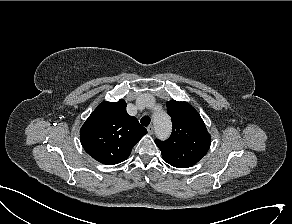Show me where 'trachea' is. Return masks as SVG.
<instances>
[{"label": "trachea", "mask_w": 292, "mask_h": 224, "mask_svg": "<svg viewBox=\"0 0 292 224\" xmlns=\"http://www.w3.org/2000/svg\"><path fill=\"white\" fill-rule=\"evenodd\" d=\"M140 122L143 126H148L151 122V119L148 116H144L141 118Z\"/></svg>", "instance_id": "trachea-1"}]
</instances>
